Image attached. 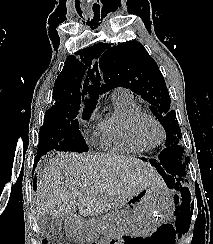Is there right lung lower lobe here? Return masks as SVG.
Segmentation results:
<instances>
[{
    "label": "right lung lower lobe",
    "instance_id": "1",
    "mask_svg": "<svg viewBox=\"0 0 213 244\" xmlns=\"http://www.w3.org/2000/svg\"><path fill=\"white\" fill-rule=\"evenodd\" d=\"M41 156H42V155H37V156H36V158H35V165H36V163L38 162L39 158H41ZM35 165H34V166H35Z\"/></svg>",
    "mask_w": 213,
    "mask_h": 244
}]
</instances>
